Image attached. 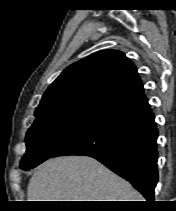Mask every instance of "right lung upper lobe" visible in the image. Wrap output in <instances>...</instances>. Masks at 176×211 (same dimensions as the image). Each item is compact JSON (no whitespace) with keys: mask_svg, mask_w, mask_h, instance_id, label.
<instances>
[{"mask_svg":"<svg viewBox=\"0 0 176 211\" xmlns=\"http://www.w3.org/2000/svg\"><path fill=\"white\" fill-rule=\"evenodd\" d=\"M147 103L135 65L120 51L103 50L67 67L48 87L35 115L65 112L102 120Z\"/></svg>","mask_w":176,"mask_h":211,"instance_id":"1","label":"right lung upper lobe"}]
</instances>
